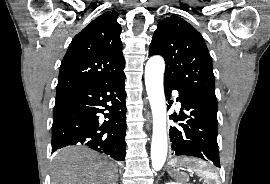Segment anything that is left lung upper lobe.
Wrapping results in <instances>:
<instances>
[{
	"instance_id": "1",
	"label": "left lung upper lobe",
	"mask_w": 270,
	"mask_h": 184,
	"mask_svg": "<svg viewBox=\"0 0 270 184\" xmlns=\"http://www.w3.org/2000/svg\"><path fill=\"white\" fill-rule=\"evenodd\" d=\"M150 55L165 59V77L217 108L212 59L202 35L182 18L172 15L159 22Z\"/></svg>"
}]
</instances>
